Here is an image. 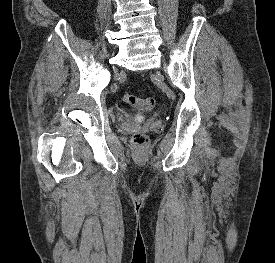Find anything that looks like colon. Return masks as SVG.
I'll return each instance as SVG.
<instances>
[{"label": "colon", "instance_id": "1", "mask_svg": "<svg viewBox=\"0 0 275 263\" xmlns=\"http://www.w3.org/2000/svg\"><path fill=\"white\" fill-rule=\"evenodd\" d=\"M123 100L131 107L144 111H152L156 106V100L153 97L138 98L132 94H125ZM148 143V137L144 133H136L133 136V144L135 146H145Z\"/></svg>", "mask_w": 275, "mask_h": 263}]
</instances>
